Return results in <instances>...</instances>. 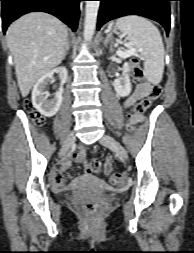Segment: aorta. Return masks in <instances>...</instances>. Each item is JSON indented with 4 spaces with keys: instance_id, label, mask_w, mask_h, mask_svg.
<instances>
[{
    "instance_id": "762f6f07",
    "label": "aorta",
    "mask_w": 194,
    "mask_h": 253,
    "mask_svg": "<svg viewBox=\"0 0 194 253\" xmlns=\"http://www.w3.org/2000/svg\"><path fill=\"white\" fill-rule=\"evenodd\" d=\"M99 6V1H86L85 24L83 33L85 42H89L93 38L94 31L96 28Z\"/></svg>"
}]
</instances>
